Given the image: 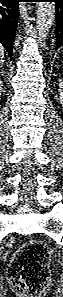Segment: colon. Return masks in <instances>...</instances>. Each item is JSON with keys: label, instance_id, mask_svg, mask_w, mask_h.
<instances>
[{"label": "colon", "instance_id": "5ec220e1", "mask_svg": "<svg viewBox=\"0 0 63 297\" xmlns=\"http://www.w3.org/2000/svg\"><path fill=\"white\" fill-rule=\"evenodd\" d=\"M50 280L49 251L38 240H30L16 252L9 268L12 289L26 297H38L48 287Z\"/></svg>", "mask_w": 63, "mask_h": 297}]
</instances>
